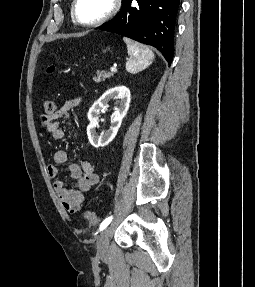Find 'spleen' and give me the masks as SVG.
<instances>
[{"mask_svg": "<svg viewBox=\"0 0 255 287\" xmlns=\"http://www.w3.org/2000/svg\"><path fill=\"white\" fill-rule=\"evenodd\" d=\"M123 40L127 44V54L130 56L126 64V70L128 72H138V70L148 68L152 60H154L152 50H149L148 46L129 40V38H123Z\"/></svg>", "mask_w": 255, "mask_h": 287, "instance_id": "1", "label": "spleen"}]
</instances>
